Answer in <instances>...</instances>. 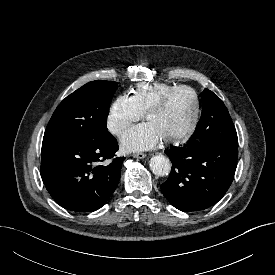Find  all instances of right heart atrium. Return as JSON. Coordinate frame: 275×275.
I'll return each instance as SVG.
<instances>
[{
  "instance_id": "obj_1",
  "label": "right heart atrium",
  "mask_w": 275,
  "mask_h": 275,
  "mask_svg": "<svg viewBox=\"0 0 275 275\" xmlns=\"http://www.w3.org/2000/svg\"><path fill=\"white\" fill-rule=\"evenodd\" d=\"M143 114L126 94L118 96L111 104L107 115V128L115 136H121Z\"/></svg>"
}]
</instances>
